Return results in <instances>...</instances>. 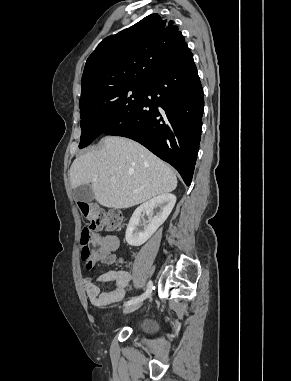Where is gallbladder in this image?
Wrapping results in <instances>:
<instances>
[{
    "instance_id": "1",
    "label": "gallbladder",
    "mask_w": 291,
    "mask_h": 381,
    "mask_svg": "<svg viewBox=\"0 0 291 381\" xmlns=\"http://www.w3.org/2000/svg\"><path fill=\"white\" fill-rule=\"evenodd\" d=\"M73 196L76 201L89 203L94 199V193L91 185H81L73 190Z\"/></svg>"
}]
</instances>
